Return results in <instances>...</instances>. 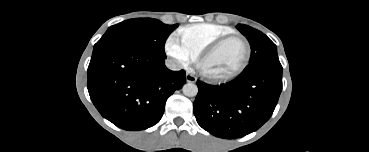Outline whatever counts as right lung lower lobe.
I'll list each match as a JSON object with an SVG mask.
<instances>
[{"mask_svg":"<svg viewBox=\"0 0 369 152\" xmlns=\"http://www.w3.org/2000/svg\"><path fill=\"white\" fill-rule=\"evenodd\" d=\"M185 71H170L163 58L131 45L92 55L87 87L100 114L116 126L138 131L157 124L166 100L186 82Z\"/></svg>","mask_w":369,"mask_h":152,"instance_id":"98d812e1","label":"right lung lower lobe"}]
</instances>
